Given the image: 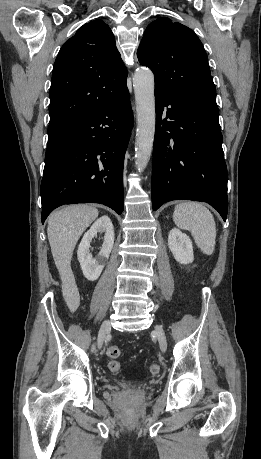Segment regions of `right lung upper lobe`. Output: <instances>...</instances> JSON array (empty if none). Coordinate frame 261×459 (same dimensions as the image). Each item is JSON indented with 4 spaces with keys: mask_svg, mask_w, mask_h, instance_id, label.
<instances>
[{
    "mask_svg": "<svg viewBox=\"0 0 261 459\" xmlns=\"http://www.w3.org/2000/svg\"><path fill=\"white\" fill-rule=\"evenodd\" d=\"M127 70L103 21L83 25L56 58L50 88L49 126L72 123L127 89Z\"/></svg>",
    "mask_w": 261,
    "mask_h": 459,
    "instance_id": "1",
    "label": "right lung upper lobe"
}]
</instances>
